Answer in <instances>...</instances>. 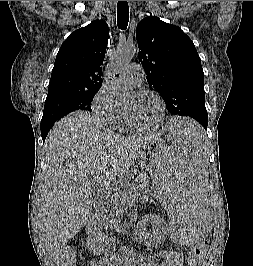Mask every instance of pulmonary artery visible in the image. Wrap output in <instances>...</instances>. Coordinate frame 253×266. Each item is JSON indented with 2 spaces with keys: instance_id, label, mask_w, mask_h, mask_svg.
<instances>
[{
  "instance_id": "pulmonary-artery-1",
  "label": "pulmonary artery",
  "mask_w": 253,
  "mask_h": 266,
  "mask_svg": "<svg viewBox=\"0 0 253 266\" xmlns=\"http://www.w3.org/2000/svg\"><path fill=\"white\" fill-rule=\"evenodd\" d=\"M125 76L132 85H140L143 79V72L141 66L138 63H132L128 65L125 70Z\"/></svg>"
}]
</instances>
